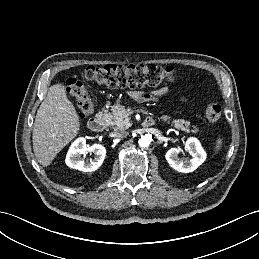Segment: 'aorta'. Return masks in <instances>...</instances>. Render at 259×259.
I'll use <instances>...</instances> for the list:
<instances>
[{
    "mask_svg": "<svg viewBox=\"0 0 259 259\" xmlns=\"http://www.w3.org/2000/svg\"><path fill=\"white\" fill-rule=\"evenodd\" d=\"M152 141V136L150 134L142 135L138 143L140 147H148Z\"/></svg>",
    "mask_w": 259,
    "mask_h": 259,
    "instance_id": "1",
    "label": "aorta"
}]
</instances>
